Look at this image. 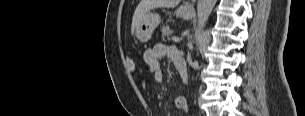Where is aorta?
Wrapping results in <instances>:
<instances>
[{"label": "aorta", "instance_id": "obj_1", "mask_svg": "<svg viewBox=\"0 0 305 116\" xmlns=\"http://www.w3.org/2000/svg\"><path fill=\"white\" fill-rule=\"evenodd\" d=\"M216 4V0H198L197 16H198V35L200 36L202 28L205 26L208 18Z\"/></svg>", "mask_w": 305, "mask_h": 116}]
</instances>
